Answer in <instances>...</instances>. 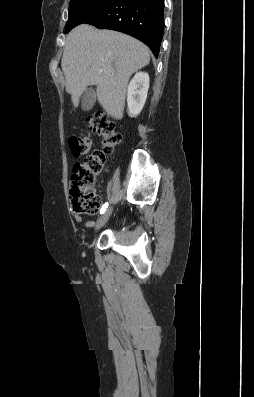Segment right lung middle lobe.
I'll list each match as a JSON object with an SVG mask.
<instances>
[{
    "instance_id": "right-lung-middle-lobe-1",
    "label": "right lung middle lobe",
    "mask_w": 254,
    "mask_h": 397,
    "mask_svg": "<svg viewBox=\"0 0 254 397\" xmlns=\"http://www.w3.org/2000/svg\"><path fill=\"white\" fill-rule=\"evenodd\" d=\"M110 0H71L69 5V19L65 25L64 33L84 23L89 18L98 14Z\"/></svg>"
}]
</instances>
